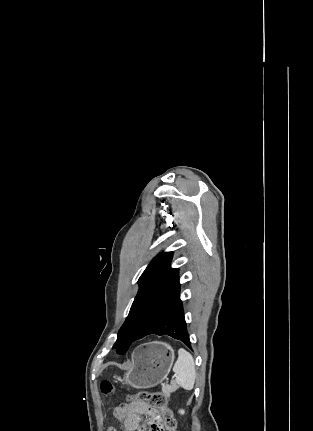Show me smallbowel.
<instances>
[{"label": "small bowel", "instance_id": "c3829d8e", "mask_svg": "<svg viewBox=\"0 0 313 431\" xmlns=\"http://www.w3.org/2000/svg\"><path fill=\"white\" fill-rule=\"evenodd\" d=\"M114 415L127 431H145L146 424H142L145 416L150 420L151 427L158 419L146 405L138 403L121 404L115 408Z\"/></svg>", "mask_w": 313, "mask_h": 431}]
</instances>
